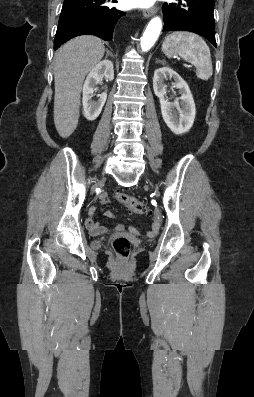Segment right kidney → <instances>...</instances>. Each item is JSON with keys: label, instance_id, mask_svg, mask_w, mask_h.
<instances>
[{"label": "right kidney", "instance_id": "1", "mask_svg": "<svg viewBox=\"0 0 254 397\" xmlns=\"http://www.w3.org/2000/svg\"><path fill=\"white\" fill-rule=\"evenodd\" d=\"M112 81L114 79L113 63L110 60H103L99 62L88 74L83 86V114L89 120H95L106 102L107 93L103 92L98 95V100L93 99L96 85L103 78Z\"/></svg>", "mask_w": 254, "mask_h": 397}]
</instances>
